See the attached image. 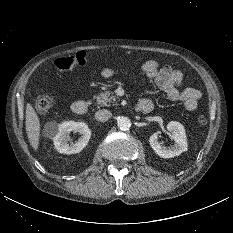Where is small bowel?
Instances as JSON below:
<instances>
[{"instance_id": "small-bowel-1", "label": "small bowel", "mask_w": 233, "mask_h": 233, "mask_svg": "<svg viewBox=\"0 0 233 233\" xmlns=\"http://www.w3.org/2000/svg\"><path fill=\"white\" fill-rule=\"evenodd\" d=\"M142 74L148 81H153L157 87L165 92L167 98L171 101H180L185 109L193 112L198 107V101L201 98V92L192 87L179 89L183 82V74L179 70H175L170 66L160 67L158 62L148 60L142 65ZM124 72H128L124 70ZM116 71L112 68H103L100 74L104 78L114 76ZM140 102H150L153 100L149 97L142 98Z\"/></svg>"}]
</instances>
